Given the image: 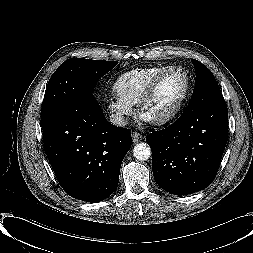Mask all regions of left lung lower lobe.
I'll list each match as a JSON object with an SVG mask.
<instances>
[{"instance_id": "0a47b994", "label": "left lung lower lobe", "mask_w": 253, "mask_h": 253, "mask_svg": "<svg viewBox=\"0 0 253 253\" xmlns=\"http://www.w3.org/2000/svg\"><path fill=\"white\" fill-rule=\"evenodd\" d=\"M228 139L224 98L186 108L167 128L146 138L152 149L155 181L174 195H188L214 180Z\"/></svg>"}]
</instances>
